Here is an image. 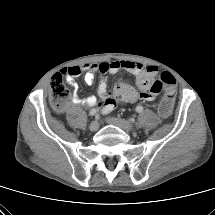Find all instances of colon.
I'll return each instance as SVG.
<instances>
[{
    "instance_id": "5ec220e1",
    "label": "colon",
    "mask_w": 215,
    "mask_h": 215,
    "mask_svg": "<svg viewBox=\"0 0 215 215\" xmlns=\"http://www.w3.org/2000/svg\"><path fill=\"white\" fill-rule=\"evenodd\" d=\"M174 85L175 79L168 72H163L160 80L155 81L152 85L151 90L153 92L159 93L163 87L166 89L165 95L158 105V112L161 116H168L173 109L176 97ZM68 96L69 90L64 84L62 75L60 73L55 74L50 82V102L52 107L56 111H62L66 106Z\"/></svg>"
}]
</instances>
